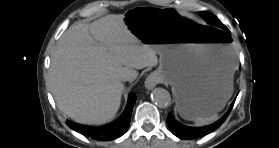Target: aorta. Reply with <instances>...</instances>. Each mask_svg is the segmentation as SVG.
<instances>
[{
  "label": "aorta",
  "instance_id": "aorta-1",
  "mask_svg": "<svg viewBox=\"0 0 279 148\" xmlns=\"http://www.w3.org/2000/svg\"><path fill=\"white\" fill-rule=\"evenodd\" d=\"M152 101L159 108H167L171 104V95L164 88H155L151 93Z\"/></svg>",
  "mask_w": 279,
  "mask_h": 148
}]
</instances>
